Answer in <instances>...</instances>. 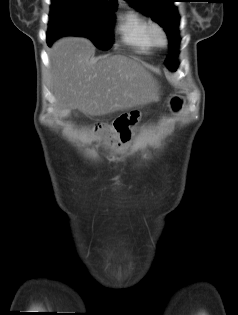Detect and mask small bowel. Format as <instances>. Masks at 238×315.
I'll list each match as a JSON object with an SVG mask.
<instances>
[{
	"label": "small bowel",
	"instance_id": "small-bowel-1",
	"mask_svg": "<svg viewBox=\"0 0 238 315\" xmlns=\"http://www.w3.org/2000/svg\"><path fill=\"white\" fill-rule=\"evenodd\" d=\"M126 147H127V145H121V146L119 147V149H120V150H124Z\"/></svg>",
	"mask_w": 238,
	"mask_h": 315
}]
</instances>
